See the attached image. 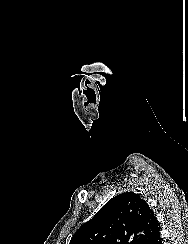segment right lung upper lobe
Returning a JSON list of instances; mask_svg holds the SVG:
<instances>
[{"label":"right lung upper lobe","mask_w":188,"mask_h":244,"mask_svg":"<svg viewBox=\"0 0 188 244\" xmlns=\"http://www.w3.org/2000/svg\"><path fill=\"white\" fill-rule=\"evenodd\" d=\"M157 228L159 222L146 201L126 192L109 200L69 244H147Z\"/></svg>","instance_id":"1"}]
</instances>
